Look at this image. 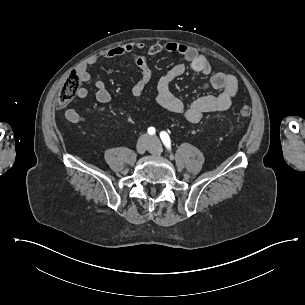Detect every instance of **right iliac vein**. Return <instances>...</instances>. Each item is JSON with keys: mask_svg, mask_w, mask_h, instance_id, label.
<instances>
[{"mask_svg": "<svg viewBox=\"0 0 305 305\" xmlns=\"http://www.w3.org/2000/svg\"><path fill=\"white\" fill-rule=\"evenodd\" d=\"M137 152L140 154H144L148 149H150V143L148 139L141 138L136 146Z\"/></svg>", "mask_w": 305, "mask_h": 305, "instance_id": "63e3f726", "label": "right iliac vein"}]
</instances>
